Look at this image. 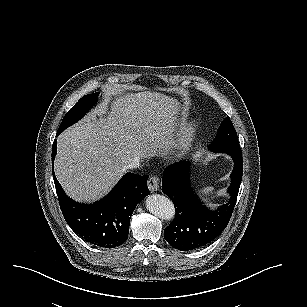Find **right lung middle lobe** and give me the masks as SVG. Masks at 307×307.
<instances>
[{
  "mask_svg": "<svg viewBox=\"0 0 307 307\" xmlns=\"http://www.w3.org/2000/svg\"><path fill=\"white\" fill-rule=\"evenodd\" d=\"M99 93L88 94L82 97L65 115L57 131L59 135L63 130L81 119L86 112L97 102Z\"/></svg>",
  "mask_w": 307,
  "mask_h": 307,
  "instance_id": "obj_1",
  "label": "right lung middle lobe"
}]
</instances>
